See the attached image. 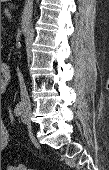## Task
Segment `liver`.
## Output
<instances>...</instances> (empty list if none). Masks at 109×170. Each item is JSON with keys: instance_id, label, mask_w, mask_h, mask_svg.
<instances>
[{"instance_id": "6515ba94", "label": "liver", "mask_w": 109, "mask_h": 170, "mask_svg": "<svg viewBox=\"0 0 109 170\" xmlns=\"http://www.w3.org/2000/svg\"><path fill=\"white\" fill-rule=\"evenodd\" d=\"M2 2H7V1H10V0H1Z\"/></svg>"}]
</instances>
